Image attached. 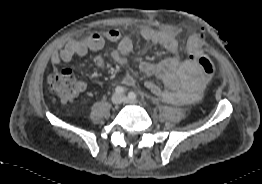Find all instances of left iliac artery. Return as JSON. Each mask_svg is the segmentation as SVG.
Listing matches in <instances>:
<instances>
[{
  "label": "left iliac artery",
  "mask_w": 262,
  "mask_h": 184,
  "mask_svg": "<svg viewBox=\"0 0 262 184\" xmlns=\"http://www.w3.org/2000/svg\"><path fill=\"white\" fill-rule=\"evenodd\" d=\"M128 96H129V98H131V99H136V94H135L134 92H130V93L128 94Z\"/></svg>",
  "instance_id": "left-iliac-artery-1"
}]
</instances>
